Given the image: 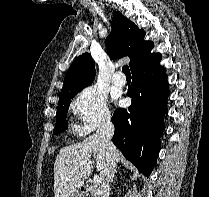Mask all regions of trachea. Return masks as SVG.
<instances>
[{
    "mask_svg": "<svg viewBox=\"0 0 209 197\" xmlns=\"http://www.w3.org/2000/svg\"><path fill=\"white\" fill-rule=\"evenodd\" d=\"M122 71H123V73H124L126 76L131 77V73H130L129 66L124 65V66L122 67Z\"/></svg>",
    "mask_w": 209,
    "mask_h": 197,
    "instance_id": "obj_1",
    "label": "trachea"
}]
</instances>
